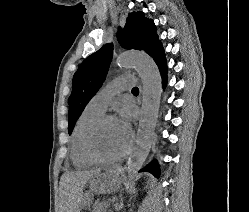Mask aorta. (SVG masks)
I'll use <instances>...</instances> for the list:
<instances>
[{
  "label": "aorta",
  "mask_w": 249,
  "mask_h": 212,
  "mask_svg": "<svg viewBox=\"0 0 249 212\" xmlns=\"http://www.w3.org/2000/svg\"><path fill=\"white\" fill-rule=\"evenodd\" d=\"M117 63L123 67H134L143 84V101L136 147L127 167L128 178L132 181L149 155L154 139L162 92L161 75L154 60L143 52H125L119 55Z\"/></svg>",
  "instance_id": "obj_1"
}]
</instances>
